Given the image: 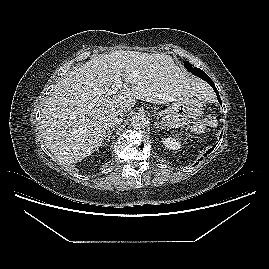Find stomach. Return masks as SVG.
<instances>
[{
    "mask_svg": "<svg viewBox=\"0 0 269 269\" xmlns=\"http://www.w3.org/2000/svg\"><path fill=\"white\" fill-rule=\"evenodd\" d=\"M204 110V101L198 96H183L172 101L165 109L158 112L160 123L170 128H181L197 121Z\"/></svg>",
    "mask_w": 269,
    "mask_h": 269,
    "instance_id": "stomach-1",
    "label": "stomach"
}]
</instances>
